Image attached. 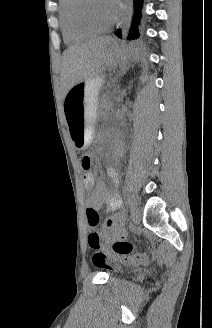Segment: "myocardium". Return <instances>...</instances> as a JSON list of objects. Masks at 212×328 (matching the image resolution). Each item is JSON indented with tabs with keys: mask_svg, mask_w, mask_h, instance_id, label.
<instances>
[{
	"mask_svg": "<svg viewBox=\"0 0 212 328\" xmlns=\"http://www.w3.org/2000/svg\"><path fill=\"white\" fill-rule=\"evenodd\" d=\"M76 5L74 7V17L78 24L81 26L96 31L101 32L110 28L117 19V11L113 10L112 18L105 24H99L95 22L88 14L87 5L89 0H76Z\"/></svg>",
	"mask_w": 212,
	"mask_h": 328,
	"instance_id": "obj_1",
	"label": "myocardium"
}]
</instances>
